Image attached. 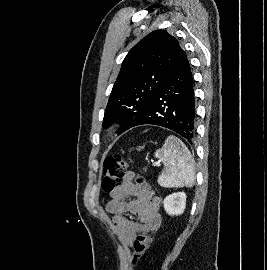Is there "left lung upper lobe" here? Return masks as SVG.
<instances>
[{"instance_id": "1", "label": "left lung upper lobe", "mask_w": 267, "mask_h": 270, "mask_svg": "<svg viewBox=\"0 0 267 270\" xmlns=\"http://www.w3.org/2000/svg\"><path fill=\"white\" fill-rule=\"evenodd\" d=\"M180 50L175 37L156 30L129 51L105 110V128L118 123L119 135L133 127L163 86Z\"/></svg>"}]
</instances>
